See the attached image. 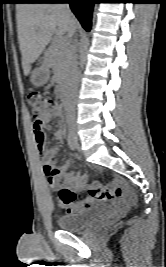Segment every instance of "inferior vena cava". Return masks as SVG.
Returning <instances> with one entry per match:
<instances>
[{"instance_id":"inferior-vena-cava-1","label":"inferior vena cava","mask_w":166,"mask_h":267,"mask_svg":"<svg viewBox=\"0 0 166 267\" xmlns=\"http://www.w3.org/2000/svg\"><path fill=\"white\" fill-rule=\"evenodd\" d=\"M61 7L68 16L72 14L68 3H62ZM75 31L76 29L70 26L67 33L68 37L72 38L75 34ZM68 63H69V86L70 90L72 91L70 100H74L75 92L77 91L78 81H79L78 80L79 71L77 66V47L75 45V42H72L69 47Z\"/></svg>"}]
</instances>
